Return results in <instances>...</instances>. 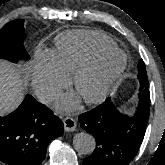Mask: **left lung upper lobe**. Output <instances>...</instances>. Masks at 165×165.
Instances as JSON below:
<instances>
[{
    "instance_id": "1",
    "label": "left lung upper lobe",
    "mask_w": 165,
    "mask_h": 165,
    "mask_svg": "<svg viewBox=\"0 0 165 165\" xmlns=\"http://www.w3.org/2000/svg\"><path fill=\"white\" fill-rule=\"evenodd\" d=\"M138 78L140 81L139 107L150 109L149 82L143 60H140L138 63Z\"/></svg>"
}]
</instances>
